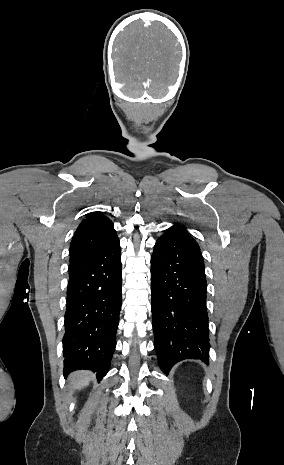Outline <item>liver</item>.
I'll list each match as a JSON object with an SVG mask.
<instances>
[{"instance_id":"liver-1","label":"liver","mask_w":284,"mask_h":465,"mask_svg":"<svg viewBox=\"0 0 284 465\" xmlns=\"http://www.w3.org/2000/svg\"><path fill=\"white\" fill-rule=\"evenodd\" d=\"M71 381H73L74 389H83L86 387L90 381V375L88 373H74L70 377Z\"/></svg>"}]
</instances>
